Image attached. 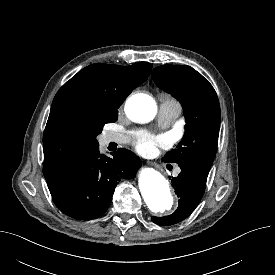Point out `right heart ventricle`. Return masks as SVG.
Returning a JSON list of instances; mask_svg holds the SVG:
<instances>
[{"mask_svg": "<svg viewBox=\"0 0 275 275\" xmlns=\"http://www.w3.org/2000/svg\"><path fill=\"white\" fill-rule=\"evenodd\" d=\"M163 101L173 102L176 103V101L169 95L163 96Z\"/></svg>", "mask_w": 275, "mask_h": 275, "instance_id": "e07e8e85", "label": "right heart ventricle"}]
</instances>
